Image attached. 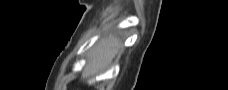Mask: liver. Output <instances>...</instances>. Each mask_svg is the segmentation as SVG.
Instances as JSON below:
<instances>
[{
    "label": "liver",
    "mask_w": 228,
    "mask_h": 90,
    "mask_svg": "<svg viewBox=\"0 0 228 90\" xmlns=\"http://www.w3.org/2000/svg\"><path fill=\"white\" fill-rule=\"evenodd\" d=\"M121 49V44L113 35L102 39L88 56V62L82 73L86 80L106 69Z\"/></svg>",
    "instance_id": "1"
}]
</instances>
